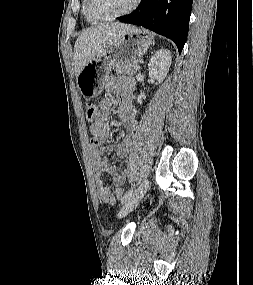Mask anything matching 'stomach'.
<instances>
[{
  "instance_id": "0dacf381",
  "label": "stomach",
  "mask_w": 253,
  "mask_h": 285,
  "mask_svg": "<svg viewBox=\"0 0 253 285\" xmlns=\"http://www.w3.org/2000/svg\"><path fill=\"white\" fill-rule=\"evenodd\" d=\"M154 43L146 29L134 27L121 36L101 55L86 64L76 78L77 87L86 99L97 97L116 66L137 61Z\"/></svg>"
}]
</instances>
